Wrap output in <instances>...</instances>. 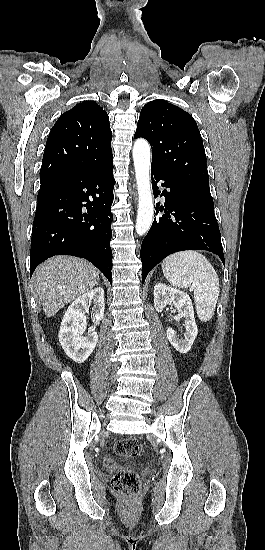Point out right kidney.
I'll return each mask as SVG.
<instances>
[{
    "instance_id": "right-kidney-1",
    "label": "right kidney",
    "mask_w": 265,
    "mask_h": 550,
    "mask_svg": "<svg viewBox=\"0 0 265 550\" xmlns=\"http://www.w3.org/2000/svg\"><path fill=\"white\" fill-rule=\"evenodd\" d=\"M93 303L91 318L93 321H101L104 317V290L101 287L94 288L78 297L68 307L62 319L59 342L66 355L76 363H84L93 352L98 341V334L91 331L87 337H83L86 330L85 311Z\"/></svg>"
}]
</instances>
